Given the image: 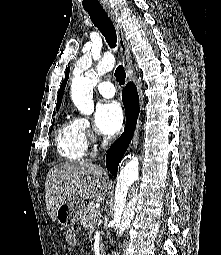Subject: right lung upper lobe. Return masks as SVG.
Returning a JSON list of instances; mask_svg holds the SVG:
<instances>
[{
	"instance_id": "1",
	"label": "right lung upper lobe",
	"mask_w": 221,
	"mask_h": 255,
	"mask_svg": "<svg viewBox=\"0 0 221 255\" xmlns=\"http://www.w3.org/2000/svg\"><path fill=\"white\" fill-rule=\"evenodd\" d=\"M69 70L70 68L68 67L66 69V74H65V79L64 81L62 82L61 86H60V89H59V92H58V98H57V109L60 107L61 105V101H62V97H63V93H64V88H65V85H66V82L68 80V77H69Z\"/></svg>"
}]
</instances>
